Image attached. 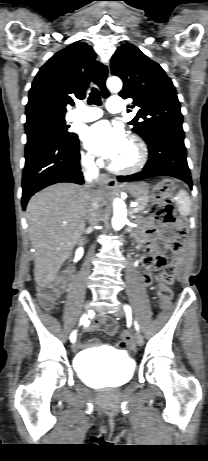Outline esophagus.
I'll return each instance as SVG.
<instances>
[{
  "instance_id": "34e87169",
  "label": "esophagus",
  "mask_w": 208,
  "mask_h": 461,
  "mask_svg": "<svg viewBox=\"0 0 208 461\" xmlns=\"http://www.w3.org/2000/svg\"><path fill=\"white\" fill-rule=\"evenodd\" d=\"M104 66L106 67V71H107V75H106V78H105V81H104V88H105V85H106V80L107 78L109 77V74H110V67H109V63H104ZM106 90V89H105ZM107 94H109L108 90H106ZM100 181L102 183V185L106 188H114L117 186V181L115 178H111L109 175L107 174H101L100 175Z\"/></svg>"
}]
</instances>
